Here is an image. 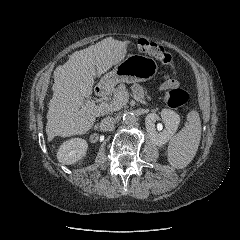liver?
<instances>
[{"mask_svg": "<svg viewBox=\"0 0 240 240\" xmlns=\"http://www.w3.org/2000/svg\"><path fill=\"white\" fill-rule=\"evenodd\" d=\"M130 41L105 38L95 45L74 52L69 60L54 71L53 96L49 102L46 134L55 136L82 135L90 130L96 117L104 114L99 109L81 111L83 100L92 94L94 76L107 72L121 62Z\"/></svg>", "mask_w": 240, "mask_h": 240, "instance_id": "liver-1", "label": "liver"}]
</instances>
